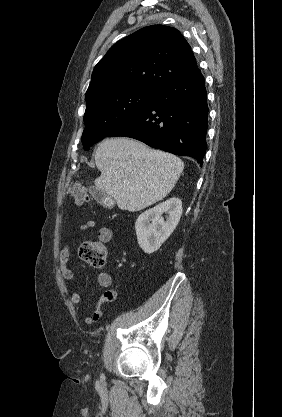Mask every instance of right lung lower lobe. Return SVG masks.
<instances>
[{"label": "right lung lower lobe", "mask_w": 282, "mask_h": 417, "mask_svg": "<svg viewBox=\"0 0 282 417\" xmlns=\"http://www.w3.org/2000/svg\"><path fill=\"white\" fill-rule=\"evenodd\" d=\"M208 128L207 93L199 69L159 88L148 104L107 137L123 136L202 166Z\"/></svg>", "instance_id": "right-lung-lower-lobe-1"}]
</instances>
